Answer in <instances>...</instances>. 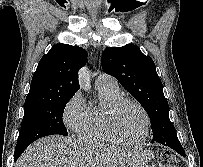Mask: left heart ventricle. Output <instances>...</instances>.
Returning <instances> with one entry per match:
<instances>
[{"label":"left heart ventricle","instance_id":"left-heart-ventricle-1","mask_svg":"<svg viewBox=\"0 0 203 167\" xmlns=\"http://www.w3.org/2000/svg\"><path fill=\"white\" fill-rule=\"evenodd\" d=\"M116 130L126 140L140 138L144 131V118L140 110L131 105H124L116 117Z\"/></svg>","mask_w":203,"mask_h":167}]
</instances>
